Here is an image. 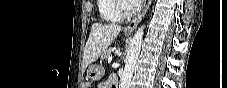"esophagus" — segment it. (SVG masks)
Masks as SVG:
<instances>
[{
    "mask_svg": "<svg viewBox=\"0 0 227 88\" xmlns=\"http://www.w3.org/2000/svg\"><path fill=\"white\" fill-rule=\"evenodd\" d=\"M152 0H149L147 2V5L145 7V9L143 10V12L135 19H133L125 28V30L127 31H133L137 25L139 24V22L142 20V18L145 16L150 4H151Z\"/></svg>",
    "mask_w": 227,
    "mask_h": 88,
    "instance_id": "obj_1",
    "label": "esophagus"
}]
</instances>
